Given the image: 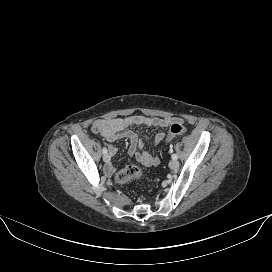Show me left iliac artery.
<instances>
[{"mask_svg": "<svg viewBox=\"0 0 272 272\" xmlns=\"http://www.w3.org/2000/svg\"><path fill=\"white\" fill-rule=\"evenodd\" d=\"M170 151H171V150H170ZM177 158H178L177 154H172V159H173V160H177Z\"/></svg>", "mask_w": 272, "mask_h": 272, "instance_id": "44dca946", "label": "left iliac artery"}]
</instances>
